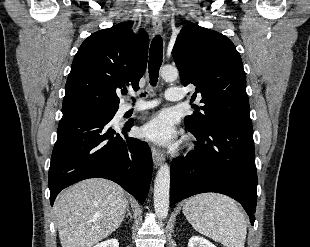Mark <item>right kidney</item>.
Masks as SVG:
<instances>
[{
    "instance_id": "right-kidney-1",
    "label": "right kidney",
    "mask_w": 310,
    "mask_h": 247,
    "mask_svg": "<svg viewBox=\"0 0 310 247\" xmlns=\"http://www.w3.org/2000/svg\"><path fill=\"white\" fill-rule=\"evenodd\" d=\"M94 247H119L117 239H110L96 244Z\"/></svg>"
}]
</instances>
